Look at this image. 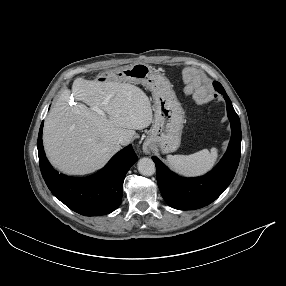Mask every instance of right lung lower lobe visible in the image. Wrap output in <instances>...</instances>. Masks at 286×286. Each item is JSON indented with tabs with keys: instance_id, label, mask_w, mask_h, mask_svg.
<instances>
[{
	"instance_id": "obj_1",
	"label": "right lung lower lobe",
	"mask_w": 286,
	"mask_h": 286,
	"mask_svg": "<svg viewBox=\"0 0 286 286\" xmlns=\"http://www.w3.org/2000/svg\"><path fill=\"white\" fill-rule=\"evenodd\" d=\"M43 122L38 135V156L42 176L62 203L84 216L109 214L122 202L123 181L127 171L137 161L132 145L115 154L98 173L73 178L59 174L49 164L42 143Z\"/></svg>"
}]
</instances>
